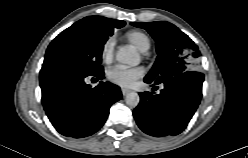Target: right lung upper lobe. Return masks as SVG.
Returning <instances> with one entry per match:
<instances>
[{"mask_svg":"<svg viewBox=\"0 0 248 158\" xmlns=\"http://www.w3.org/2000/svg\"><path fill=\"white\" fill-rule=\"evenodd\" d=\"M84 19L90 22L101 33H110L113 32L114 27L121 28L125 25L124 21L113 20L101 16H89Z\"/></svg>","mask_w":248,"mask_h":158,"instance_id":"obj_1","label":"right lung upper lobe"}]
</instances>
